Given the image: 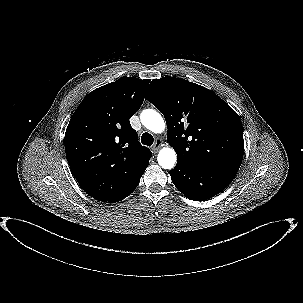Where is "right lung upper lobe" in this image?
<instances>
[{
    "instance_id": "1",
    "label": "right lung upper lobe",
    "mask_w": 303,
    "mask_h": 303,
    "mask_svg": "<svg viewBox=\"0 0 303 303\" xmlns=\"http://www.w3.org/2000/svg\"><path fill=\"white\" fill-rule=\"evenodd\" d=\"M150 80L120 78L89 93L65 133V152L83 190L109 202L132 187L151 157L129 119L139 110Z\"/></svg>"
}]
</instances>
